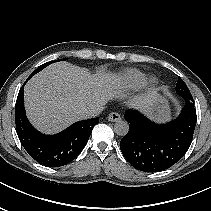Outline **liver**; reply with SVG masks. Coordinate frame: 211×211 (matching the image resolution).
Listing matches in <instances>:
<instances>
[{"mask_svg":"<svg viewBox=\"0 0 211 211\" xmlns=\"http://www.w3.org/2000/svg\"><path fill=\"white\" fill-rule=\"evenodd\" d=\"M124 84L112 74H90L68 62H59L32 77L24 88L29 120L40 131L56 133L73 122L84 119V111L105 105L120 95ZM155 92L132 101L133 107L148 111Z\"/></svg>","mask_w":211,"mask_h":211,"instance_id":"liver-1","label":"liver"}]
</instances>
